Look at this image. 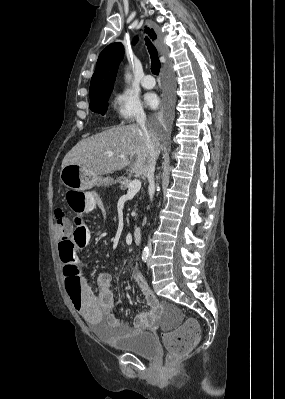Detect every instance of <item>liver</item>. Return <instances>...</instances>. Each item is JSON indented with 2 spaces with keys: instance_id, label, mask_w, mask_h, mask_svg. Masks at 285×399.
Here are the masks:
<instances>
[{
  "instance_id": "liver-1",
  "label": "liver",
  "mask_w": 285,
  "mask_h": 399,
  "mask_svg": "<svg viewBox=\"0 0 285 399\" xmlns=\"http://www.w3.org/2000/svg\"><path fill=\"white\" fill-rule=\"evenodd\" d=\"M149 132L157 139L159 155V139L155 133ZM70 164L78 165L95 176L130 166L131 172L145 177L148 166L145 134L138 124L113 127L79 141L64 157L62 168Z\"/></svg>"
}]
</instances>
